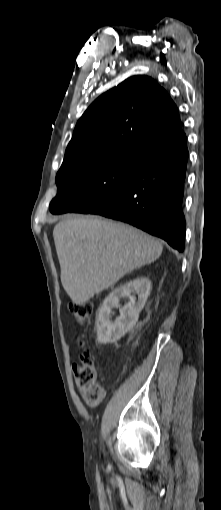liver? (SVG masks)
<instances>
[{
    "label": "liver",
    "mask_w": 221,
    "mask_h": 510,
    "mask_svg": "<svg viewBox=\"0 0 221 510\" xmlns=\"http://www.w3.org/2000/svg\"><path fill=\"white\" fill-rule=\"evenodd\" d=\"M61 283L76 305L158 259L163 247L130 225L99 217H73L55 225Z\"/></svg>",
    "instance_id": "6515ba94"
}]
</instances>
